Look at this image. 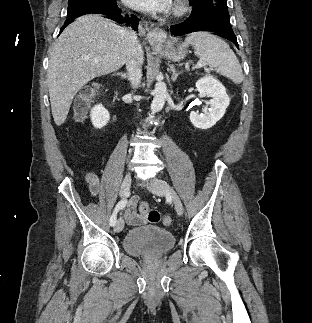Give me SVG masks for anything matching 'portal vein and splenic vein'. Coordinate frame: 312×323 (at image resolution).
I'll return each mask as SVG.
<instances>
[{
  "mask_svg": "<svg viewBox=\"0 0 312 323\" xmlns=\"http://www.w3.org/2000/svg\"><path fill=\"white\" fill-rule=\"evenodd\" d=\"M94 64H98L97 60H95ZM196 66L197 68H203L204 64H202V62H197Z\"/></svg>",
  "mask_w": 312,
  "mask_h": 323,
  "instance_id": "1",
  "label": "portal vein and splenic vein"
}]
</instances>
